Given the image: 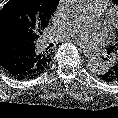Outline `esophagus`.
I'll return each mask as SVG.
<instances>
[{"label": "esophagus", "instance_id": "esophagus-1", "mask_svg": "<svg viewBox=\"0 0 118 118\" xmlns=\"http://www.w3.org/2000/svg\"><path fill=\"white\" fill-rule=\"evenodd\" d=\"M81 52L88 58L93 57V54L86 49H81Z\"/></svg>", "mask_w": 118, "mask_h": 118}]
</instances>
